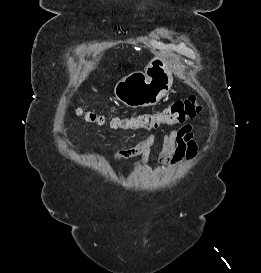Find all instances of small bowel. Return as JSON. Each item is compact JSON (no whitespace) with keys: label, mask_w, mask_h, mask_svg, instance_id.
<instances>
[{"label":"small bowel","mask_w":261,"mask_h":273,"mask_svg":"<svg viewBox=\"0 0 261 273\" xmlns=\"http://www.w3.org/2000/svg\"><path fill=\"white\" fill-rule=\"evenodd\" d=\"M157 138L156 134L149 135L135 146L120 149L114 152L117 162L140 157L136 163L137 167L144 166L151 155V147ZM162 148L159 153V162L175 168L182 161L191 162L197 154V145L193 139L192 126L187 124L172 130L169 134L162 135Z\"/></svg>","instance_id":"1"}]
</instances>
